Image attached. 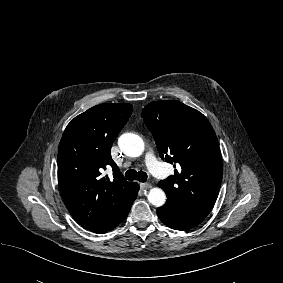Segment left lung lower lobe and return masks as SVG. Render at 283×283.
Listing matches in <instances>:
<instances>
[{
  "mask_svg": "<svg viewBox=\"0 0 283 283\" xmlns=\"http://www.w3.org/2000/svg\"><path fill=\"white\" fill-rule=\"evenodd\" d=\"M157 215L168 227L175 230H188L200 224L205 217L190 214L172 204L157 208Z\"/></svg>",
  "mask_w": 283,
  "mask_h": 283,
  "instance_id": "left-lung-lower-lobe-1",
  "label": "left lung lower lobe"
}]
</instances>
